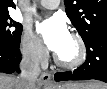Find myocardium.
<instances>
[{
  "mask_svg": "<svg viewBox=\"0 0 107 89\" xmlns=\"http://www.w3.org/2000/svg\"><path fill=\"white\" fill-rule=\"evenodd\" d=\"M70 37L77 47V55L73 60L66 61L61 59L57 54L54 56L55 63L64 69H76L80 67L86 60L87 48L83 38L76 32L70 33Z\"/></svg>",
  "mask_w": 107,
  "mask_h": 89,
  "instance_id": "f54148a6",
  "label": "myocardium"
}]
</instances>
